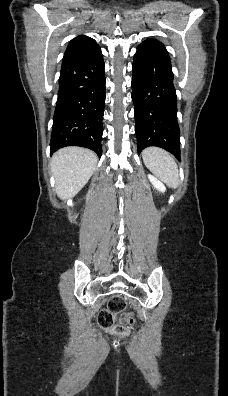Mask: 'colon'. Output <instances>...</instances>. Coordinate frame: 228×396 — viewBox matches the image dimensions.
<instances>
[{"label": "colon", "mask_w": 228, "mask_h": 396, "mask_svg": "<svg viewBox=\"0 0 228 396\" xmlns=\"http://www.w3.org/2000/svg\"><path fill=\"white\" fill-rule=\"evenodd\" d=\"M125 307V300L120 295H113L108 301L107 309L99 313V325L117 336L129 335L135 323V318L131 313H123ZM116 314H121L118 322L116 321Z\"/></svg>", "instance_id": "colon-1"}]
</instances>
